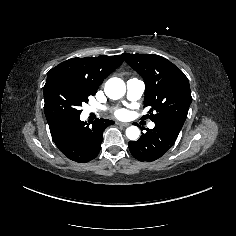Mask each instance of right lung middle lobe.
Returning a JSON list of instances; mask_svg holds the SVG:
<instances>
[{
    "label": "right lung middle lobe",
    "mask_w": 236,
    "mask_h": 236,
    "mask_svg": "<svg viewBox=\"0 0 236 236\" xmlns=\"http://www.w3.org/2000/svg\"><path fill=\"white\" fill-rule=\"evenodd\" d=\"M43 93L44 112L50 129L79 117L80 106L93 95L84 84L64 75L47 77Z\"/></svg>",
    "instance_id": "dd1d6c3e"
}]
</instances>
